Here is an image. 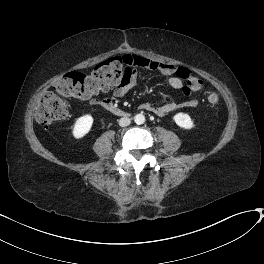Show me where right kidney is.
Returning a JSON list of instances; mask_svg holds the SVG:
<instances>
[{
  "instance_id": "ca27d5eb",
  "label": "right kidney",
  "mask_w": 264,
  "mask_h": 264,
  "mask_svg": "<svg viewBox=\"0 0 264 264\" xmlns=\"http://www.w3.org/2000/svg\"><path fill=\"white\" fill-rule=\"evenodd\" d=\"M93 117L89 114L79 117L73 127L72 134L76 139L84 137L91 129Z\"/></svg>"
}]
</instances>
